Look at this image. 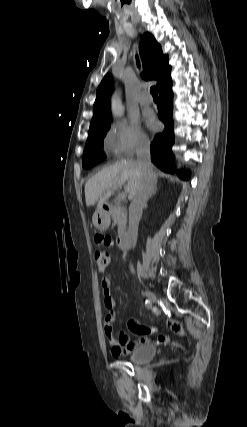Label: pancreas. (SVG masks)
<instances>
[{"label": "pancreas", "mask_w": 247, "mask_h": 427, "mask_svg": "<svg viewBox=\"0 0 247 427\" xmlns=\"http://www.w3.org/2000/svg\"><path fill=\"white\" fill-rule=\"evenodd\" d=\"M109 214L111 215L114 224L118 226V234H124L127 224V210L121 205L120 200L115 201L111 206Z\"/></svg>", "instance_id": "cf45deb5"}]
</instances>
